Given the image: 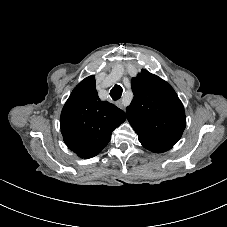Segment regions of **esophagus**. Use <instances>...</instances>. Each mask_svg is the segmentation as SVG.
Segmentation results:
<instances>
[{
	"label": "esophagus",
	"instance_id": "esophagus-1",
	"mask_svg": "<svg viewBox=\"0 0 227 227\" xmlns=\"http://www.w3.org/2000/svg\"><path fill=\"white\" fill-rule=\"evenodd\" d=\"M115 105L117 106V107H119L120 109H123V103H122V101H116L115 102Z\"/></svg>",
	"mask_w": 227,
	"mask_h": 227
}]
</instances>
